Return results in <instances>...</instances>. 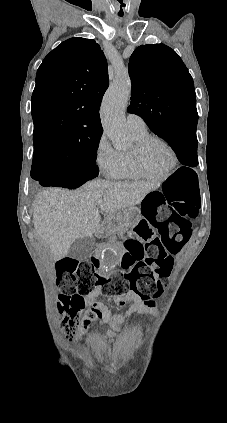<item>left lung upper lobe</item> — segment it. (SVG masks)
Masks as SVG:
<instances>
[{
    "instance_id": "1",
    "label": "left lung upper lobe",
    "mask_w": 227,
    "mask_h": 423,
    "mask_svg": "<svg viewBox=\"0 0 227 423\" xmlns=\"http://www.w3.org/2000/svg\"><path fill=\"white\" fill-rule=\"evenodd\" d=\"M130 113L168 143L196 136L198 113L193 79L179 55L164 44L138 47L130 57Z\"/></svg>"
}]
</instances>
